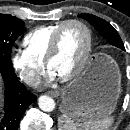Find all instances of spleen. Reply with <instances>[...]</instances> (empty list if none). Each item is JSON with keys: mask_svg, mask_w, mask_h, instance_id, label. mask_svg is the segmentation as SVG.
<instances>
[{"mask_svg": "<svg viewBox=\"0 0 130 130\" xmlns=\"http://www.w3.org/2000/svg\"><path fill=\"white\" fill-rule=\"evenodd\" d=\"M113 116H105L99 120H85L74 122L63 114L58 118V130H108L113 124Z\"/></svg>", "mask_w": 130, "mask_h": 130, "instance_id": "spleen-1", "label": "spleen"}]
</instances>
